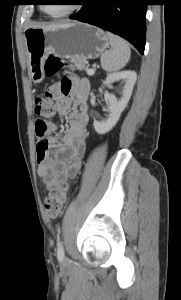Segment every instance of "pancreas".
<instances>
[{
    "label": "pancreas",
    "mask_w": 181,
    "mask_h": 300,
    "mask_svg": "<svg viewBox=\"0 0 181 300\" xmlns=\"http://www.w3.org/2000/svg\"><path fill=\"white\" fill-rule=\"evenodd\" d=\"M71 62L75 65L78 70H83L85 68V63L78 59H71Z\"/></svg>",
    "instance_id": "cf45deb5"
}]
</instances>
